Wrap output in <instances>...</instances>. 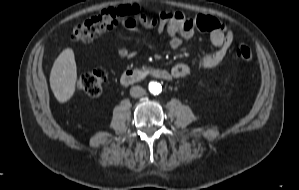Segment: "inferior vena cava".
<instances>
[{
	"label": "inferior vena cava",
	"instance_id": "inferior-vena-cava-1",
	"mask_svg": "<svg viewBox=\"0 0 299 190\" xmlns=\"http://www.w3.org/2000/svg\"><path fill=\"white\" fill-rule=\"evenodd\" d=\"M145 90L140 86H133L130 89V95L134 98H139L145 95Z\"/></svg>",
	"mask_w": 299,
	"mask_h": 190
}]
</instances>
